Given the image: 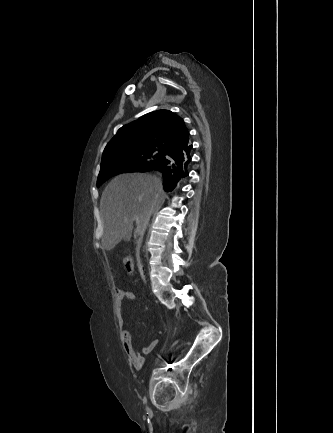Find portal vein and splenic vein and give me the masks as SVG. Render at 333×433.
Segmentation results:
<instances>
[{"mask_svg":"<svg viewBox=\"0 0 333 433\" xmlns=\"http://www.w3.org/2000/svg\"><path fill=\"white\" fill-rule=\"evenodd\" d=\"M134 221H135V223H136V225H137V228H136V230H135V233L136 234H138V235H141V233H142V230H141V228H140V226H139V219L137 218V217H134Z\"/></svg>","mask_w":333,"mask_h":433,"instance_id":"portal-vein-and-splenic-vein-1","label":"portal vein and splenic vein"}]
</instances>
